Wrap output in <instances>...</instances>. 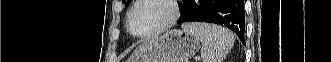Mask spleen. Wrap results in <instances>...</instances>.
Instances as JSON below:
<instances>
[{"mask_svg": "<svg viewBox=\"0 0 331 62\" xmlns=\"http://www.w3.org/2000/svg\"><path fill=\"white\" fill-rule=\"evenodd\" d=\"M182 29L194 35L202 43L203 62H222L234 44L233 33L220 26L191 22L183 24Z\"/></svg>", "mask_w": 331, "mask_h": 62, "instance_id": "1", "label": "spleen"}]
</instances>
